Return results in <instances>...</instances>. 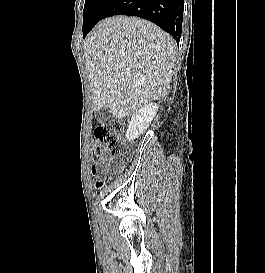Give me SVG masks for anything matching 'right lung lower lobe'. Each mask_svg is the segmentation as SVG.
Here are the masks:
<instances>
[{"label":"right lung lower lobe","mask_w":265,"mask_h":273,"mask_svg":"<svg viewBox=\"0 0 265 273\" xmlns=\"http://www.w3.org/2000/svg\"><path fill=\"white\" fill-rule=\"evenodd\" d=\"M183 5L184 0H114L103 18L113 15L138 16L154 22L179 42Z\"/></svg>","instance_id":"obj_1"}]
</instances>
